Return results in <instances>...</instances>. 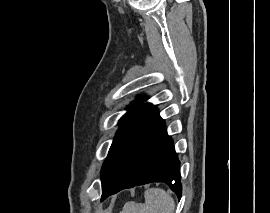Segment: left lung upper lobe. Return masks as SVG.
<instances>
[{
	"mask_svg": "<svg viewBox=\"0 0 270 213\" xmlns=\"http://www.w3.org/2000/svg\"><path fill=\"white\" fill-rule=\"evenodd\" d=\"M155 110V106L149 103L141 104L140 102H134L129 106V111L119 120L120 128L116 133L108 156L102 167V179L128 139L133 135L142 122Z\"/></svg>",
	"mask_w": 270,
	"mask_h": 213,
	"instance_id": "obj_1",
	"label": "left lung upper lobe"
}]
</instances>
